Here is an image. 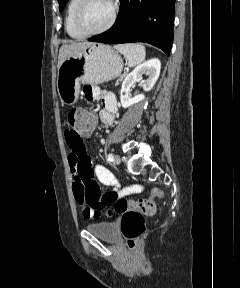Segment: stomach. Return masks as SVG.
<instances>
[{
  "label": "stomach",
  "mask_w": 240,
  "mask_h": 288,
  "mask_svg": "<svg viewBox=\"0 0 240 288\" xmlns=\"http://www.w3.org/2000/svg\"><path fill=\"white\" fill-rule=\"evenodd\" d=\"M123 69L121 56L110 46L91 43L67 58L58 68L57 91L65 105L77 102L81 84H101L117 78Z\"/></svg>",
  "instance_id": "0dacf381"
}]
</instances>
